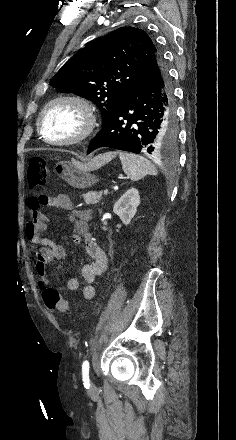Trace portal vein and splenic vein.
<instances>
[{
    "instance_id": "18ae733b",
    "label": "portal vein and splenic vein",
    "mask_w": 236,
    "mask_h": 440,
    "mask_svg": "<svg viewBox=\"0 0 236 440\" xmlns=\"http://www.w3.org/2000/svg\"><path fill=\"white\" fill-rule=\"evenodd\" d=\"M108 194V189H105L104 190V195H107Z\"/></svg>"
}]
</instances>
